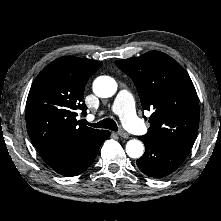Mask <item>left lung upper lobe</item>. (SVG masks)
I'll use <instances>...</instances> for the list:
<instances>
[{"label":"left lung upper lobe","instance_id":"1","mask_svg":"<svg viewBox=\"0 0 221 221\" xmlns=\"http://www.w3.org/2000/svg\"><path fill=\"white\" fill-rule=\"evenodd\" d=\"M115 64L133 80L143 109L152 111L144 136L191 149L199 126V104L193 83L180 64L158 51Z\"/></svg>","mask_w":221,"mask_h":221}]
</instances>
